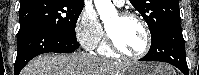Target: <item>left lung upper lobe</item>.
<instances>
[{
  "instance_id": "obj_1",
  "label": "left lung upper lobe",
  "mask_w": 199,
  "mask_h": 75,
  "mask_svg": "<svg viewBox=\"0 0 199 75\" xmlns=\"http://www.w3.org/2000/svg\"><path fill=\"white\" fill-rule=\"evenodd\" d=\"M145 19L151 39L157 38L171 22L180 21L179 0H130Z\"/></svg>"
}]
</instances>
